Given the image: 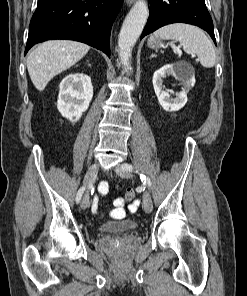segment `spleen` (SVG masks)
<instances>
[{
    "mask_svg": "<svg viewBox=\"0 0 247 296\" xmlns=\"http://www.w3.org/2000/svg\"><path fill=\"white\" fill-rule=\"evenodd\" d=\"M154 37L179 41L187 54L198 56L203 67L212 68L216 63V54L212 42L196 26L183 23L166 25L155 31Z\"/></svg>",
    "mask_w": 247,
    "mask_h": 296,
    "instance_id": "1",
    "label": "spleen"
}]
</instances>
